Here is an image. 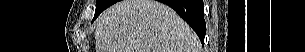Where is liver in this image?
Listing matches in <instances>:
<instances>
[{
  "label": "liver",
  "instance_id": "liver-1",
  "mask_svg": "<svg viewBox=\"0 0 305 52\" xmlns=\"http://www.w3.org/2000/svg\"><path fill=\"white\" fill-rule=\"evenodd\" d=\"M96 52H199L196 34L167 5L155 0H122L96 23Z\"/></svg>",
  "mask_w": 305,
  "mask_h": 52
}]
</instances>
